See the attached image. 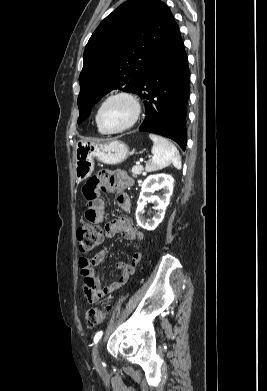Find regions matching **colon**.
I'll return each instance as SVG.
<instances>
[{
	"label": "colon",
	"mask_w": 267,
	"mask_h": 391,
	"mask_svg": "<svg viewBox=\"0 0 267 391\" xmlns=\"http://www.w3.org/2000/svg\"><path fill=\"white\" fill-rule=\"evenodd\" d=\"M76 236L80 252L89 254L101 243L103 231L97 225L85 223L78 227ZM108 311V307H90L85 313L87 324L94 326L102 323L106 319Z\"/></svg>",
	"instance_id": "5ec220e1"
}]
</instances>
